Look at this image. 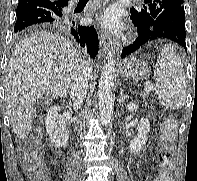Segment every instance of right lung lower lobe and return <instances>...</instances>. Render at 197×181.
Masks as SVG:
<instances>
[{
	"label": "right lung lower lobe",
	"mask_w": 197,
	"mask_h": 181,
	"mask_svg": "<svg viewBox=\"0 0 197 181\" xmlns=\"http://www.w3.org/2000/svg\"><path fill=\"white\" fill-rule=\"evenodd\" d=\"M68 0H19L15 32L32 25L66 30L94 58L98 53V36L93 26H80L63 16Z\"/></svg>",
	"instance_id": "right-lung-lower-lobe-1"
}]
</instances>
